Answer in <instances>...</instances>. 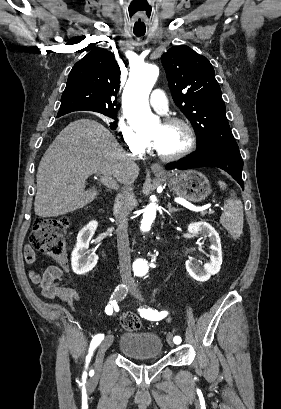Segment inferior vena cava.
I'll use <instances>...</instances> for the list:
<instances>
[{"label": "inferior vena cava", "instance_id": "inferior-vena-cava-1", "mask_svg": "<svg viewBox=\"0 0 281 409\" xmlns=\"http://www.w3.org/2000/svg\"><path fill=\"white\" fill-rule=\"evenodd\" d=\"M133 182L124 184L121 192L124 200L127 196H133ZM128 209H123L118 215V227L116 229L117 247L119 253L120 277L124 283H134L131 275L130 247L128 239Z\"/></svg>", "mask_w": 281, "mask_h": 409}]
</instances>
